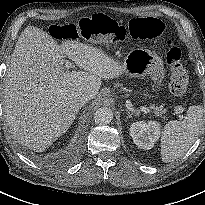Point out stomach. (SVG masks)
<instances>
[{
    "mask_svg": "<svg viewBox=\"0 0 205 205\" xmlns=\"http://www.w3.org/2000/svg\"><path fill=\"white\" fill-rule=\"evenodd\" d=\"M124 73L129 77H143L149 75L160 85L164 79L165 68L162 60L148 49H132L122 64Z\"/></svg>",
    "mask_w": 205,
    "mask_h": 205,
    "instance_id": "1",
    "label": "stomach"
}]
</instances>
